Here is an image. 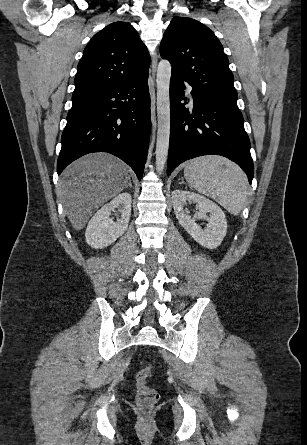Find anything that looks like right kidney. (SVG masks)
Listing matches in <instances>:
<instances>
[{
	"label": "right kidney",
	"mask_w": 307,
	"mask_h": 445,
	"mask_svg": "<svg viewBox=\"0 0 307 445\" xmlns=\"http://www.w3.org/2000/svg\"><path fill=\"white\" fill-rule=\"evenodd\" d=\"M131 194L129 192H121L115 196L113 200L104 204L100 210L89 220L85 233L87 245L92 249H104L109 247L111 243L117 241L128 229V223L131 214ZM118 208L121 212V218H117L114 223L110 218L111 210Z\"/></svg>",
	"instance_id": "1"
}]
</instances>
